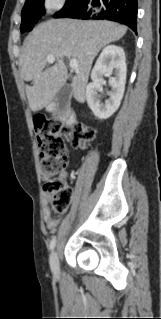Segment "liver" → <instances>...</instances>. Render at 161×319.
Returning a JSON list of instances; mask_svg holds the SVG:
<instances>
[{"label": "liver", "instance_id": "6515ba94", "mask_svg": "<svg viewBox=\"0 0 161 319\" xmlns=\"http://www.w3.org/2000/svg\"><path fill=\"white\" fill-rule=\"evenodd\" d=\"M127 27L111 21L51 19L39 24L26 39L20 58L30 109L39 111L49 105L67 81L64 58L78 60L71 88L74 98L83 103L94 58L107 44L121 39ZM56 63L47 68V55Z\"/></svg>", "mask_w": 161, "mask_h": 319}]
</instances>
